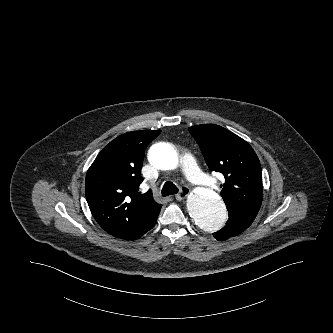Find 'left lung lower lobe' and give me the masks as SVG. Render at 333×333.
I'll return each instance as SVG.
<instances>
[{
	"instance_id": "obj_1",
	"label": "left lung lower lobe",
	"mask_w": 333,
	"mask_h": 333,
	"mask_svg": "<svg viewBox=\"0 0 333 333\" xmlns=\"http://www.w3.org/2000/svg\"><path fill=\"white\" fill-rule=\"evenodd\" d=\"M253 221L241 218L237 215H229V219L221 230L215 232L213 236L220 241L226 240L230 237L239 235L244 230H246Z\"/></svg>"
}]
</instances>
